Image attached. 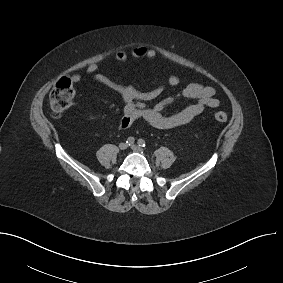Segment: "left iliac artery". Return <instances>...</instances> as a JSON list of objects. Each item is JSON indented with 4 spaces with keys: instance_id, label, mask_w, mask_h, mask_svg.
Here are the masks:
<instances>
[{
    "instance_id": "44dca946",
    "label": "left iliac artery",
    "mask_w": 283,
    "mask_h": 283,
    "mask_svg": "<svg viewBox=\"0 0 283 283\" xmlns=\"http://www.w3.org/2000/svg\"><path fill=\"white\" fill-rule=\"evenodd\" d=\"M138 144L139 146H142V147L146 146V142L143 139H138Z\"/></svg>"
}]
</instances>
